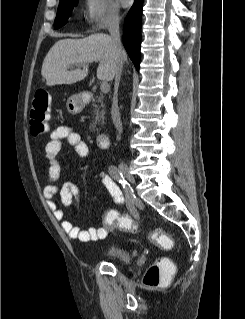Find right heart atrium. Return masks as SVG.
I'll use <instances>...</instances> for the list:
<instances>
[{
  "mask_svg": "<svg viewBox=\"0 0 245 319\" xmlns=\"http://www.w3.org/2000/svg\"><path fill=\"white\" fill-rule=\"evenodd\" d=\"M119 8L114 0H85L84 21L88 31L94 32L115 25Z\"/></svg>",
  "mask_w": 245,
  "mask_h": 319,
  "instance_id": "1",
  "label": "right heart atrium"
}]
</instances>
